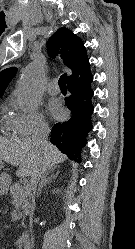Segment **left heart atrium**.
I'll return each mask as SVG.
<instances>
[{
    "mask_svg": "<svg viewBox=\"0 0 135 249\" xmlns=\"http://www.w3.org/2000/svg\"><path fill=\"white\" fill-rule=\"evenodd\" d=\"M49 111L52 114V116L58 117L61 114V107L57 103L52 102L49 105Z\"/></svg>",
    "mask_w": 135,
    "mask_h": 249,
    "instance_id": "left-heart-atrium-1",
    "label": "left heart atrium"
}]
</instances>
